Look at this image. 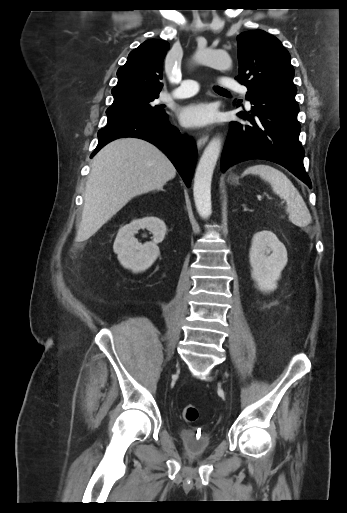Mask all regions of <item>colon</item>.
<instances>
[{
	"label": "colon",
	"mask_w": 347,
	"mask_h": 513,
	"mask_svg": "<svg viewBox=\"0 0 347 513\" xmlns=\"http://www.w3.org/2000/svg\"><path fill=\"white\" fill-rule=\"evenodd\" d=\"M181 412H182L183 419L186 422H190V423L195 422L199 417V411H198L197 407L192 404L183 405Z\"/></svg>",
	"instance_id": "5ec220e1"
}]
</instances>
